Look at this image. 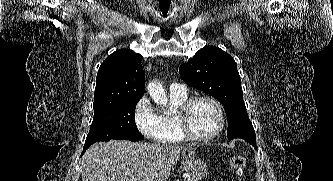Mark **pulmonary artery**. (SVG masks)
I'll list each match as a JSON object with an SVG mask.
<instances>
[{"mask_svg": "<svg viewBox=\"0 0 333 181\" xmlns=\"http://www.w3.org/2000/svg\"><path fill=\"white\" fill-rule=\"evenodd\" d=\"M170 93L171 94H185V93H187V89H186L185 85H183L181 83H173L170 86Z\"/></svg>", "mask_w": 333, "mask_h": 181, "instance_id": "pulmonary-artery-1", "label": "pulmonary artery"}]
</instances>
